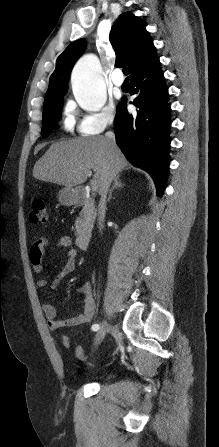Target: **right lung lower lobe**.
Wrapping results in <instances>:
<instances>
[{
    "instance_id": "right-lung-lower-lobe-1",
    "label": "right lung lower lobe",
    "mask_w": 219,
    "mask_h": 447,
    "mask_svg": "<svg viewBox=\"0 0 219 447\" xmlns=\"http://www.w3.org/2000/svg\"><path fill=\"white\" fill-rule=\"evenodd\" d=\"M132 102L138 110L130 114L125 101L115 116L116 143L126 158L147 171L155 181L157 195L165 188L169 169L170 104L159 58L130 78Z\"/></svg>"
}]
</instances>
